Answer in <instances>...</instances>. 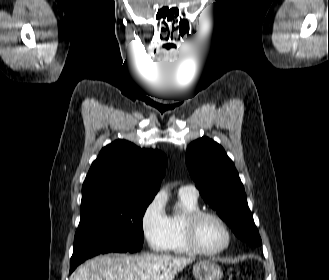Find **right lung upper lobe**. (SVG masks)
Returning a JSON list of instances; mask_svg holds the SVG:
<instances>
[{
	"mask_svg": "<svg viewBox=\"0 0 329 280\" xmlns=\"http://www.w3.org/2000/svg\"><path fill=\"white\" fill-rule=\"evenodd\" d=\"M166 164L167 158L159 150L116 140L92 163L83 183L81 206L122 196L154 197Z\"/></svg>",
	"mask_w": 329,
	"mask_h": 280,
	"instance_id": "obj_1",
	"label": "right lung upper lobe"
}]
</instances>
